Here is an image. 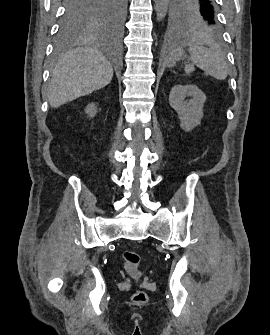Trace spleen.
Here are the masks:
<instances>
[{
  "instance_id": "spleen-1",
  "label": "spleen",
  "mask_w": 270,
  "mask_h": 335,
  "mask_svg": "<svg viewBox=\"0 0 270 335\" xmlns=\"http://www.w3.org/2000/svg\"><path fill=\"white\" fill-rule=\"evenodd\" d=\"M184 46H190L189 52H191V60L194 64L204 70L205 74L208 76H213L216 80H225L228 76V64L226 58H224L221 50L219 48H204V46H199L197 40H189ZM183 54L182 46L174 48L169 54V58H166L168 66H173L175 60H179L180 56ZM186 74L194 72V66H185Z\"/></svg>"
}]
</instances>
